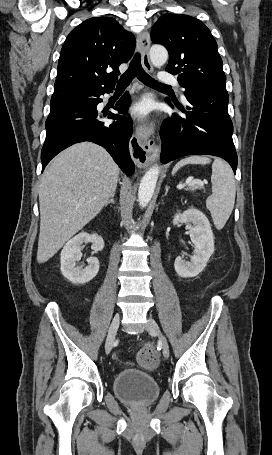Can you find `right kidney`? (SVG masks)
Instances as JSON below:
<instances>
[{
    "label": "right kidney",
    "instance_id": "1",
    "mask_svg": "<svg viewBox=\"0 0 272 455\" xmlns=\"http://www.w3.org/2000/svg\"><path fill=\"white\" fill-rule=\"evenodd\" d=\"M92 242V249L101 251L104 248V240L97 234L82 232L69 240L61 251V272L65 278L74 284H84L92 280L99 271V260L96 257L87 259L85 268L76 267V261L82 257L83 243Z\"/></svg>",
    "mask_w": 272,
    "mask_h": 455
}]
</instances>
